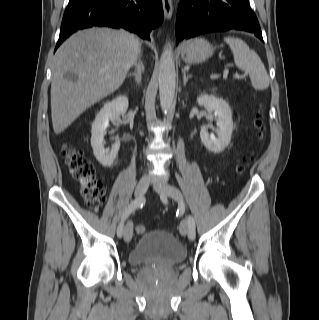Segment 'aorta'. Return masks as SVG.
Returning <instances> with one entry per match:
<instances>
[{
    "instance_id": "aorta-1",
    "label": "aorta",
    "mask_w": 319,
    "mask_h": 320,
    "mask_svg": "<svg viewBox=\"0 0 319 320\" xmlns=\"http://www.w3.org/2000/svg\"><path fill=\"white\" fill-rule=\"evenodd\" d=\"M176 84L175 64L170 43L164 49L159 65V97L160 106L164 114L170 110Z\"/></svg>"
}]
</instances>
